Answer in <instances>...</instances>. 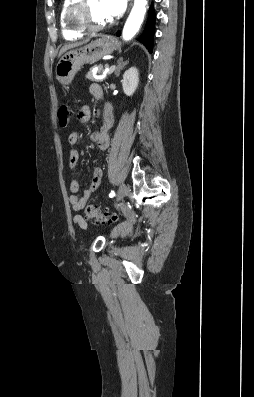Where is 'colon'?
Returning a JSON list of instances; mask_svg holds the SVG:
<instances>
[{"instance_id": "1", "label": "colon", "mask_w": 254, "mask_h": 397, "mask_svg": "<svg viewBox=\"0 0 254 397\" xmlns=\"http://www.w3.org/2000/svg\"><path fill=\"white\" fill-rule=\"evenodd\" d=\"M72 110L69 104L63 103L58 110V119L61 127H66L70 121ZM86 217L96 223H112L117 220L116 214L101 212L95 205L90 204L85 210Z\"/></svg>"}]
</instances>
